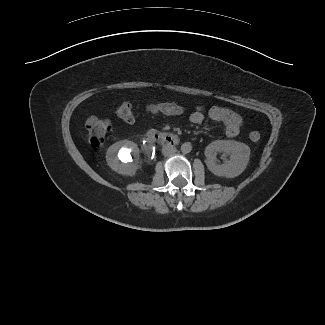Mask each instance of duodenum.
I'll return each mask as SVG.
<instances>
[{
	"mask_svg": "<svg viewBox=\"0 0 325 325\" xmlns=\"http://www.w3.org/2000/svg\"><path fill=\"white\" fill-rule=\"evenodd\" d=\"M146 140L166 145L174 146L179 142V136L175 133H163L157 131H150L147 133Z\"/></svg>",
	"mask_w": 325,
	"mask_h": 325,
	"instance_id": "duodenum-1",
	"label": "duodenum"
}]
</instances>
